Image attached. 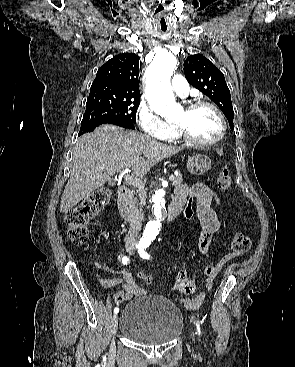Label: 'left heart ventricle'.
I'll list each match as a JSON object with an SVG mask.
<instances>
[{
	"mask_svg": "<svg viewBox=\"0 0 295 367\" xmlns=\"http://www.w3.org/2000/svg\"><path fill=\"white\" fill-rule=\"evenodd\" d=\"M175 123L184 127L195 139L208 141L216 138L221 129L216 113L203 106L194 110H182L175 118Z\"/></svg>",
	"mask_w": 295,
	"mask_h": 367,
	"instance_id": "obj_1",
	"label": "left heart ventricle"
}]
</instances>
